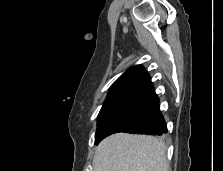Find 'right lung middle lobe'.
Returning a JSON list of instances; mask_svg holds the SVG:
<instances>
[{"instance_id": "1", "label": "right lung middle lobe", "mask_w": 223, "mask_h": 171, "mask_svg": "<svg viewBox=\"0 0 223 171\" xmlns=\"http://www.w3.org/2000/svg\"><path fill=\"white\" fill-rule=\"evenodd\" d=\"M133 97H114L105 100L98 115L95 143L103 136L106 128L115 121L134 101Z\"/></svg>"}]
</instances>
